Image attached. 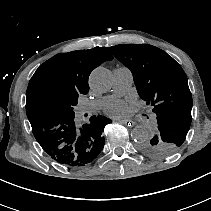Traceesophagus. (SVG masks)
I'll use <instances>...</instances> for the list:
<instances>
[{
    "label": "esophagus",
    "instance_id": "obj_1",
    "mask_svg": "<svg viewBox=\"0 0 211 211\" xmlns=\"http://www.w3.org/2000/svg\"><path fill=\"white\" fill-rule=\"evenodd\" d=\"M120 124H126V127L128 130H133L134 129V122L130 119H122L118 121Z\"/></svg>",
    "mask_w": 211,
    "mask_h": 211
}]
</instances>
